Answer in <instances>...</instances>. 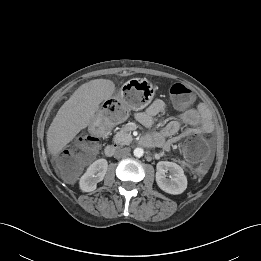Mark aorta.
<instances>
[{
    "label": "aorta",
    "mask_w": 261,
    "mask_h": 261,
    "mask_svg": "<svg viewBox=\"0 0 261 261\" xmlns=\"http://www.w3.org/2000/svg\"><path fill=\"white\" fill-rule=\"evenodd\" d=\"M133 154L135 157H142L143 154H144V150L142 148H135L134 151H133Z\"/></svg>",
    "instance_id": "1"
}]
</instances>
